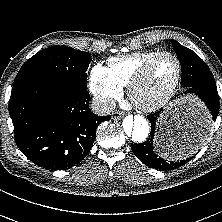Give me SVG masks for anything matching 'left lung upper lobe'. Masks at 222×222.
Listing matches in <instances>:
<instances>
[{
  "instance_id": "1",
  "label": "left lung upper lobe",
  "mask_w": 222,
  "mask_h": 222,
  "mask_svg": "<svg viewBox=\"0 0 222 222\" xmlns=\"http://www.w3.org/2000/svg\"><path fill=\"white\" fill-rule=\"evenodd\" d=\"M171 42L174 46V49L178 55L179 61L181 63V67L184 66H194L196 73L185 72L182 69V85L183 87H188L191 85H200L206 87H215L216 83L214 77L207 66V64L191 49L182 46L176 40L171 39ZM188 74L192 76H188ZM158 168H164V163L162 161H157Z\"/></svg>"
}]
</instances>
